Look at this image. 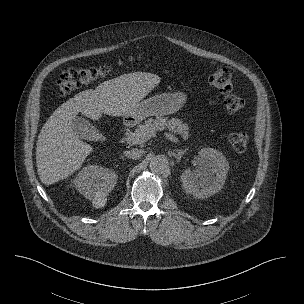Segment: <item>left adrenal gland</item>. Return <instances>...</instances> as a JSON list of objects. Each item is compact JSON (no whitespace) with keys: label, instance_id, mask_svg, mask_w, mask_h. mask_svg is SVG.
<instances>
[{"label":"left adrenal gland","instance_id":"obj_1","mask_svg":"<svg viewBox=\"0 0 304 304\" xmlns=\"http://www.w3.org/2000/svg\"><path fill=\"white\" fill-rule=\"evenodd\" d=\"M188 148H186L185 150H176V153H172V155L177 159V162H180L182 156L187 152Z\"/></svg>","mask_w":304,"mask_h":304}]
</instances>
